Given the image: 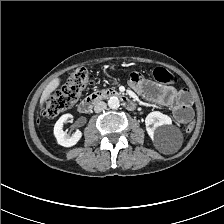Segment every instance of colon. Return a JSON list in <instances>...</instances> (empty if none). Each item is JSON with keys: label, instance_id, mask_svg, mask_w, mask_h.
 Listing matches in <instances>:
<instances>
[{"label": "colon", "instance_id": "colon-1", "mask_svg": "<svg viewBox=\"0 0 224 224\" xmlns=\"http://www.w3.org/2000/svg\"><path fill=\"white\" fill-rule=\"evenodd\" d=\"M155 80L165 84H175L176 76L163 67L153 70ZM90 82V74L84 67L76 68L70 75L67 82L57 91L46 97L41 106L40 113L43 116L54 117L71 108L80 98L82 92ZM194 123L187 125L186 131L191 132Z\"/></svg>", "mask_w": 224, "mask_h": 224}]
</instances>
